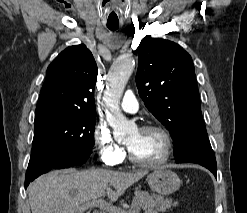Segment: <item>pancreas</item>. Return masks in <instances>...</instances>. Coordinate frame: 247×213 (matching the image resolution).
Returning <instances> with one entry per match:
<instances>
[{"mask_svg":"<svg viewBox=\"0 0 247 213\" xmlns=\"http://www.w3.org/2000/svg\"><path fill=\"white\" fill-rule=\"evenodd\" d=\"M177 202L172 199L165 198L160 195L150 194L145 191H136L132 200L131 208L126 213H137L136 211L143 208H155L157 211H167L173 206H177Z\"/></svg>","mask_w":247,"mask_h":213,"instance_id":"obj_1","label":"pancreas"}]
</instances>
